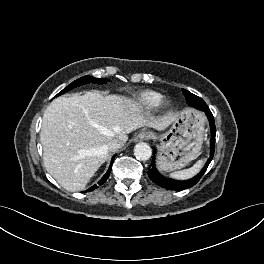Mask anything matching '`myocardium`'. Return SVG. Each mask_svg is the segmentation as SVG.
I'll list each match as a JSON object with an SVG mask.
<instances>
[{"instance_id": "f54148a6", "label": "myocardium", "mask_w": 264, "mask_h": 264, "mask_svg": "<svg viewBox=\"0 0 264 264\" xmlns=\"http://www.w3.org/2000/svg\"><path fill=\"white\" fill-rule=\"evenodd\" d=\"M169 105H170V103H169V101H168L167 99H162V100L159 102V104H158V106H159L160 108H162V109H166V108H168Z\"/></svg>"}]
</instances>
